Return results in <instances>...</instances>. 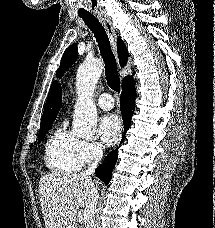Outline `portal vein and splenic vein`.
Listing matches in <instances>:
<instances>
[{
	"mask_svg": "<svg viewBox=\"0 0 215 228\" xmlns=\"http://www.w3.org/2000/svg\"><path fill=\"white\" fill-rule=\"evenodd\" d=\"M80 214H82L83 222H87V220H89L90 214H89L88 210H83V212H80Z\"/></svg>",
	"mask_w": 215,
	"mask_h": 228,
	"instance_id": "portal-vein-and-splenic-vein-1",
	"label": "portal vein and splenic vein"
}]
</instances>
